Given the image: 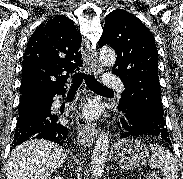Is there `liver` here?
<instances>
[{
	"mask_svg": "<svg viewBox=\"0 0 183 179\" xmlns=\"http://www.w3.org/2000/svg\"><path fill=\"white\" fill-rule=\"evenodd\" d=\"M67 159L65 150L53 142L33 139L10 153L6 179H47Z\"/></svg>",
	"mask_w": 183,
	"mask_h": 179,
	"instance_id": "liver-1",
	"label": "liver"
}]
</instances>
